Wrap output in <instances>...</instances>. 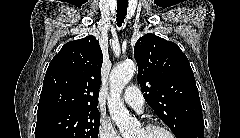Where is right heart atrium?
Instances as JSON below:
<instances>
[{"label": "right heart atrium", "instance_id": "right-heart-atrium-1", "mask_svg": "<svg viewBox=\"0 0 240 138\" xmlns=\"http://www.w3.org/2000/svg\"><path fill=\"white\" fill-rule=\"evenodd\" d=\"M99 138H120L111 123L107 120H101L98 127Z\"/></svg>", "mask_w": 240, "mask_h": 138}]
</instances>
